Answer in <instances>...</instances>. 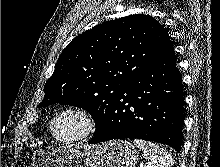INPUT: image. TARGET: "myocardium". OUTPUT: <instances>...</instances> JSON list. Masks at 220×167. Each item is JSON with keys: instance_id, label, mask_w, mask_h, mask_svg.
Instances as JSON below:
<instances>
[{"instance_id": "myocardium-1", "label": "myocardium", "mask_w": 220, "mask_h": 167, "mask_svg": "<svg viewBox=\"0 0 220 167\" xmlns=\"http://www.w3.org/2000/svg\"><path fill=\"white\" fill-rule=\"evenodd\" d=\"M75 115L82 122L81 130L74 136L63 138L55 134L56 122L65 115ZM98 127L95 116L85 107L79 105H69L59 110L52 118L49 125L50 135L54 140L62 144H75L88 140L94 135Z\"/></svg>"}]
</instances>
